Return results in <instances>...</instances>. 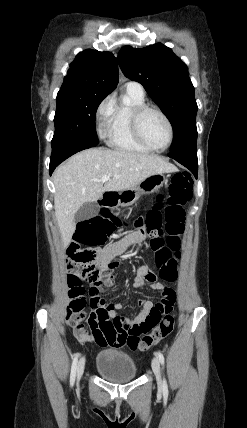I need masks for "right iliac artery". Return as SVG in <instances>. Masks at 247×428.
I'll return each instance as SVG.
<instances>
[{"instance_id":"82829eb1","label":"right iliac artery","mask_w":247,"mask_h":428,"mask_svg":"<svg viewBox=\"0 0 247 428\" xmlns=\"http://www.w3.org/2000/svg\"><path fill=\"white\" fill-rule=\"evenodd\" d=\"M78 357L79 354H75L72 366H71V374H70V385L73 386L75 382V376H76V370H77V363H78Z\"/></svg>"}]
</instances>
